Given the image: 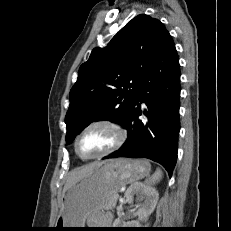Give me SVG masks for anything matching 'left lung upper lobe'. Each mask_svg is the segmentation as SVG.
Instances as JSON below:
<instances>
[{
    "label": "left lung upper lobe",
    "instance_id": "5c2ea615",
    "mask_svg": "<svg viewBox=\"0 0 231 231\" xmlns=\"http://www.w3.org/2000/svg\"><path fill=\"white\" fill-rule=\"evenodd\" d=\"M169 32L158 19L140 14L105 48H94L70 91L66 142L95 120L124 124L141 89V79Z\"/></svg>",
    "mask_w": 231,
    "mask_h": 231
}]
</instances>
